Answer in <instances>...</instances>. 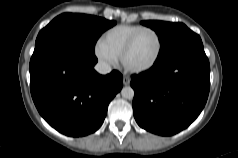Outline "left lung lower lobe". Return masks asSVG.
I'll return each mask as SVG.
<instances>
[{"label":"left lung lower lobe","mask_w":238,"mask_h":158,"mask_svg":"<svg viewBox=\"0 0 238 158\" xmlns=\"http://www.w3.org/2000/svg\"><path fill=\"white\" fill-rule=\"evenodd\" d=\"M136 122L152 133L170 136L187 128L205 106L210 65L201 40L181 46L132 75Z\"/></svg>","instance_id":"0a47b994"}]
</instances>
